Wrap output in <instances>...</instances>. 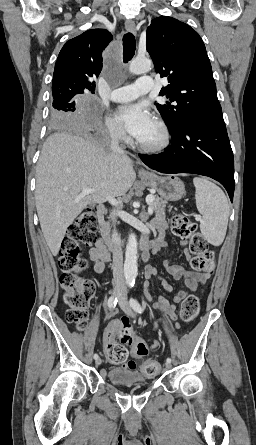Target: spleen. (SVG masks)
<instances>
[{
	"instance_id": "spleen-1",
	"label": "spleen",
	"mask_w": 256,
	"mask_h": 445,
	"mask_svg": "<svg viewBox=\"0 0 256 445\" xmlns=\"http://www.w3.org/2000/svg\"><path fill=\"white\" fill-rule=\"evenodd\" d=\"M193 183L196 206L202 215L201 233L209 243L219 246L225 238L230 214L227 197L217 185L205 178L195 177Z\"/></svg>"
}]
</instances>
